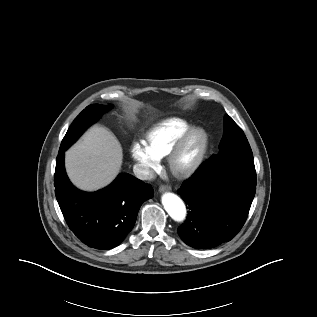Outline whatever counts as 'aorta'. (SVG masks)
<instances>
[{"instance_id": "762f6f07", "label": "aorta", "mask_w": 317, "mask_h": 317, "mask_svg": "<svg viewBox=\"0 0 317 317\" xmlns=\"http://www.w3.org/2000/svg\"><path fill=\"white\" fill-rule=\"evenodd\" d=\"M162 204L169 216L176 222H183L187 211L183 201L173 193H165L162 196Z\"/></svg>"}]
</instances>
